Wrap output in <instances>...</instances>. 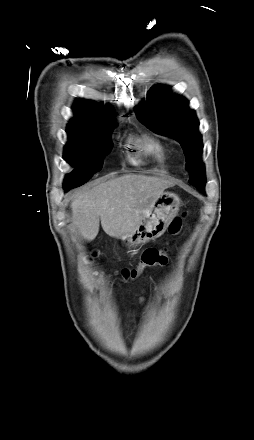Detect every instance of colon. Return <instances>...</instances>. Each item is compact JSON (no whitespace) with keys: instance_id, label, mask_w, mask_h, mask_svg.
I'll list each match as a JSON object with an SVG mask.
<instances>
[{"instance_id":"obj_1","label":"colon","mask_w":254,"mask_h":440,"mask_svg":"<svg viewBox=\"0 0 254 440\" xmlns=\"http://www.w3.org/2000/svg\"><path fill=\"white\" fill-rule=\"evenodd\" d=\"M183 218H175L169 227L172 236L177 235L182 227ZM168 261V251L166 248H147L141 254L140 262L134 267L123 268L119 271L125 280H134L139 277L146 269L154 266L165 265Z\"/></svg>"}]
</instances>
